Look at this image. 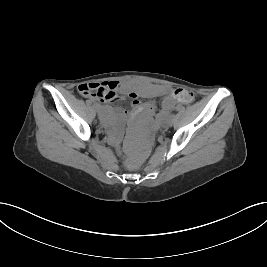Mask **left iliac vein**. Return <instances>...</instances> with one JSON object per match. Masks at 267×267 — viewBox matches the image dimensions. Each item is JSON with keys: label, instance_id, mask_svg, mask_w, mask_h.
<instances>
[{"label": "left iliac vein", "instance_id": "1", "mask_svg": "<svg viewBox=\"0 0 267 267\" xmlns=\"http://www.w3.org/2000/svg\"><path fill=\"white\" fill-rule=\"evenodd\" d=\"M170 125H171L170 121H166V122L164 123V126H165V127H169Z\"/></svg>", "mask_w": 267, "mask_h": 267}]
</instances>
